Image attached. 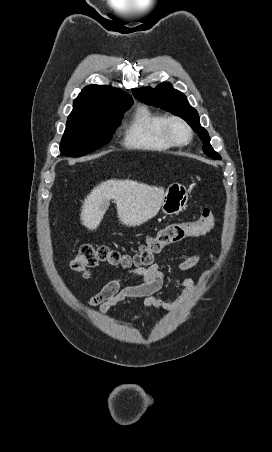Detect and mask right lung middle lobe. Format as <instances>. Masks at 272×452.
<instances>
[{
	"label": "right lung middle lobe",
	"instance_id": "right-lung-middle-lobe-1",
	"mask_svg": "<svg viewBox=\"0 0 272 452\" xmlns=\"http://www.w3.org/2000/svg\"><path fill=\"white\" fill-rule=\"evenodd\" d=\"M130 104H121L101 111L91 117L67 120L60 144L61 155L81 157L104 146L120 125L121 114Z\"/></svg>",
	"mask_w": 272,
	"mask_h": 452
}]
</instances>
